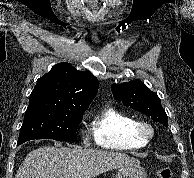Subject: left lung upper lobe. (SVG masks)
Instances as JSON below:
<instances>
[{"label":"left lung upper lobe","mask_w":194,"mask_h":178,"mask_svg":"<svg viewBox=\"0 0 194 178\" xmlns=\"http://www.w3.org/2000/svg\"><path fill=\"white\" fill-rule=\"evenodd\" d=\"M112 93L114 98L120 100L125 106L142 112L154 121L168 126V117L160 104V98L140 80L112 84Z\"/></svg>","instance_id":"left-lung-upper-lobe-1"}]
</instances>
